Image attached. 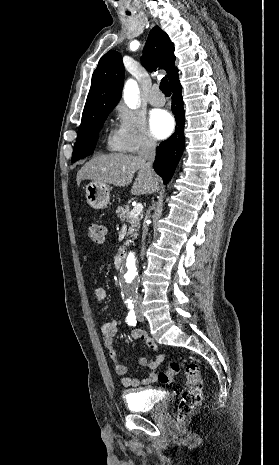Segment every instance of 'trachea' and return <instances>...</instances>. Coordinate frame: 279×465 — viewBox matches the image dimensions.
<instances>
[{
    "mask_svg": "<svg viewBox=\"0 0 279 465\" xmlns=\"http://www.w3.org/2000/svg\"><path fill=\"white\" fill-rule=\"evenodd\" d=\"M160 89L166 96L171 95L169 82H168V79L166 77L162 78V80L160 82Z\"/></svg>",
    "mask_w": 279,
    "mask_h": 465,
    "instance_id": "1",
    "label": "trachea"
}]
</instances>
